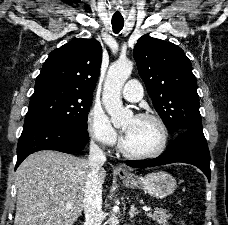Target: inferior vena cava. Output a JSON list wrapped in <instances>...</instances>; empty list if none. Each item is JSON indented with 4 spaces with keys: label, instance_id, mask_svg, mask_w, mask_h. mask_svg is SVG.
<instances>
[{
    "label": "inferior vena cava",
    "instance_id": "inferior-vena-cava-1",
    "mask_svg": "<svg viewBox=\"0 0 228 225\" xmlns=\"http://www.w3.org/2000/svg\"><path fill=\"white\" fill-rule=\"evenodd\" d=\"M88 161L89 173L84 189L85 225H101L102 223V183L99 171L106 161V157L98 145L91 141Z\"/></svg>",
    "mask_w": 228,
    "mask_h": 225
}]
</instances>
